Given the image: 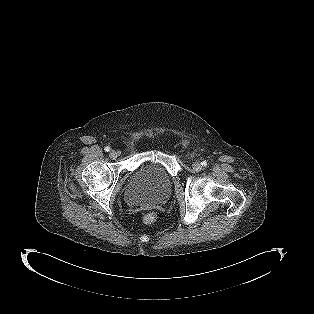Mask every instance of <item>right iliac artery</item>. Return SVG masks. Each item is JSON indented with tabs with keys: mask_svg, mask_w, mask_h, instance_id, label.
Returning a JSON list of instances; mask_svg holds the SVG:
<instances>
[{
	"mask_svg": "<svg viewBox=\"0 0 314 314\" xmlns=\"http://www.w3.org/2000/svg\"><path fill=\"white\" fill-rule=\"evenodd\" d=\"M104 150H105L106 152H109V151H110V147H109V146H106V147L104 148Z\"/></svg>",
	"mask_w": 314,
	"mask_h": 314,
	"instance_id": "82829eb1",
	"label": "right iliac artery"
}]
</instances>
